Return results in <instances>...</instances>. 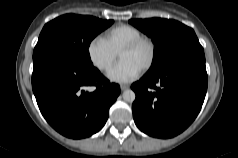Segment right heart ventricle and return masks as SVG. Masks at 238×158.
Here are the masks:
<instances>
[{"label":"right heart ventricle","instance_id":"1","mask_svg":"<svg viewBox=\"0 0 238 158\" xmlns=\"http://www.w3.org/2000/svg\"><path fill=\"white\" fill-rule=\"evenodd\" d=\"M140 36L143 34L139 29L123 24L109 29L104 39L116 53H119L123 46Z\"/></svg>","mask_w":238,"mask_h":158}]
</instances>
